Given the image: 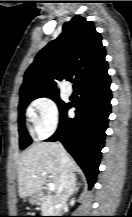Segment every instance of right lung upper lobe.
Returning <instances> with one entry per match:
<instances>
[{"instance_id":"obj_1","label":"right lung upper lobe","mask_w":132,"mask_h":217,"mask_svg":"<svg viewBox=\"0 0 132 217\" xmlns=\"http://www.w3.org/2000/svg\"><path fill=\"white\" fill-rule=\"evenodd\" d=\"M105 56L101 35L93 22L81 16L73 17L27 69L20 99L58 94L54 79L72 80L80 88L108 78Z\"/></svg>"}]
</instances>
